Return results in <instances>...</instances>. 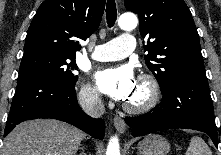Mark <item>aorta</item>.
I'll return each mask as SVG.
<instances>
[{
    "label": "aorta",
    "mask_w": 221,
    "mask_h": 155,
    "mask_svg": "<svg viewBox=\"0 0 221 155\" xmlns=\"http://www.w3.org/2000/svg\"><path fill=\"white\" fill-rule=\"evenodd\" d=\"M137 18L132 14H123L118 20V25L122 30L131 31L137 26ZM106 155H120L119 140L113 136L108 143Z\"/></svg>",
    "instance_id": "1"
}]
</instances>
